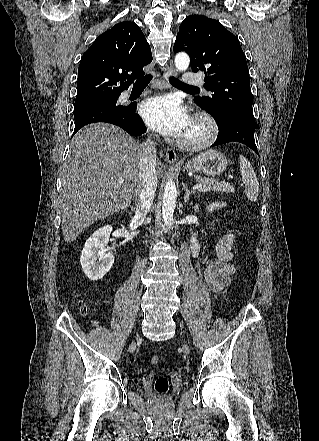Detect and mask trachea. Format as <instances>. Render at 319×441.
I'll list each match as a JSON object with an SVG mask.
<instances>
[{
	"label": "trachea",
	"mask_w": 319,
	"mask_h": 441,
	"mask_svg": "<svg viewBox=\"0 0 319 441\" xmlns=\"http://www.w3.org/2000/svg\"><path fill=\"white\" fill-rule=\"evenodd\" d=\"M152 77H153V76H152L151 74H148V75H146V76H144V77L139 78V79L136 80V82L134 83V88H142V87H146V86L150 83V81L152 80ZM169 82H170L172 85H174V86H176V87H180V88H185V89H198L197 87L189 86V85H186V84L182 83L181 81H179L178 79H176V78L173 77V76H170V77H169Z\"/></svg>",
	"instance_id": "3493384b"
}]
</instances>
